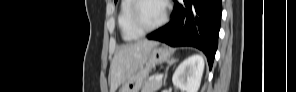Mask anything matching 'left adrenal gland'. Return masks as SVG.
I'll use <instances>...</instances> for the list:
<instances>
[{"label": "left adrenal gland", "instance_id": "obj_1", "mask_svg": "<svg viewBox=\"0 0 296 92\" xmlns=\"http://www.w3.org/2000/svg\"><path fill=\"white\" fill-rule=\"evenodd\" d=\"M177 61H178V59H176V58H172V59L169 61L168 66H167L166 71H165V74H164L163 85L166 84V79H167V75H168V70H169V68H170L174 63H176Z\"/></svg>", "mask_w": 296, "mask_h": 92}]
</instances>
